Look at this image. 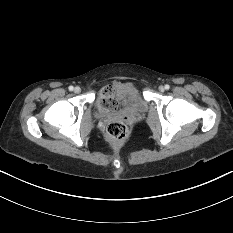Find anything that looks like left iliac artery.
Instances as JSON below:
<instances>
[{
	"label": "left iliac artery",
	"mask_w": 233,
	"mask_h": 233,
	"mask_svg": "<svg viewBox=\"0 0 233 233\" xmlns=\"http://www.w3.org/2000/svg\"><path fill=\"white\" fill-rule=\"evenodd\" d=\"M169 88H170V86L167 84V85H165V89L166 90H169Z\"/></svg>",
	"instance_id": "left-iliac-artery-1"
}]
</instances>
